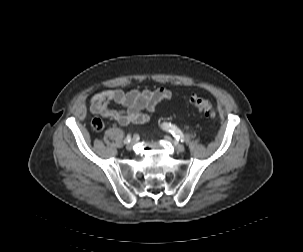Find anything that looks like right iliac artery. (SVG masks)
<instances>
[{"mask_svg":"<svg viewBox=\"0 0 303 252\" xmlns=\"http://www.w3.org/2000/svg\"><path fill=\"white\" fill-rule=\"evenodd\" d=\"M130 140H131V137H130V135H128V136L126 137V139L124 140V143H129Z\"/></svg>","mask_w":303,"mask_h":252,"instance_id":"1","label":"right iliac artery"}]
</instances>
